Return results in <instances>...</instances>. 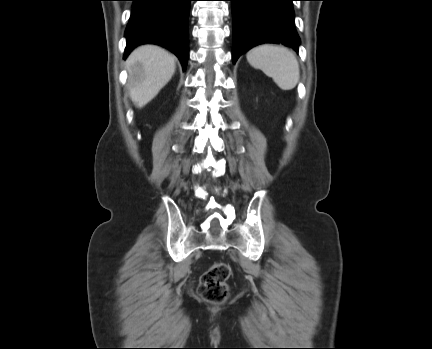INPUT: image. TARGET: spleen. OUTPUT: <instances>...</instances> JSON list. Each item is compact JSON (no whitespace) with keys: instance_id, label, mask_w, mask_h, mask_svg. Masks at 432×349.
Wrapping results in <instances>:
<instances>
[{"instance_id":"3e777b00","label":"spleen","mask_w":432,"mask_h":349,"mask_svg":"<svg viewBox=\"0 0 432 349\" xmlns=\"http://www.w3.org/2000/svg\"><path fill=\"white\" fill-rule=\"evenodd\" d=\"M246 58L251 66L261 69L284 91L293 89L299 82V63L295 54L286 47L260 45L251 49Z\"/></svg>"}]
</instances>
